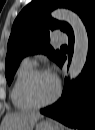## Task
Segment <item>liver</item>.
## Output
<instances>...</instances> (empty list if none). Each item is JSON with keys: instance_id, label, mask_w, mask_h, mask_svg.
<instances>
[{"instance_id": "liver-1", "label": "liver", "mask_w": 95, "mask_h": 130, "mask_svg": "<svg viewBox=\"0 0 95 130\" xmlns=\"http://www.w3.org/2000/svg\"><path fill=\"white\" fill-rule=\"evenodd\" d=\"M41 118L38 112L8 113L3 119V130H33Z\"/></svg>"}]
</instances>
